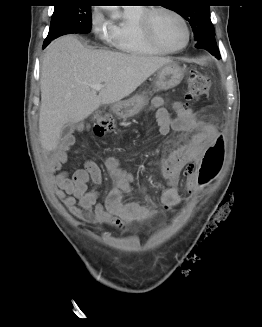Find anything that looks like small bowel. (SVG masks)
<instances>
[{
  "label": "small bowel",
  "instance_id": "obj_1",
  "mask_svg": "<svg viewBox=\"0 0 262 327\" xmlns=\"http://www.w3.org/2000/svg\"><path fill=\"white\" fill-rule=\"evenodd\" d=\"M166 102L164 98L156 97L151 103V108L155 110L159 135L196 131L184 145L175 149L165 159L162 166L166 188L159 202L161 205L163 203L178 205L182 201L178 189L182 170L184 169L187 194L193 195L199 186L195 181L194 166L205 165L200 163V154L208 148V143H218L216 141L218 132L213 125L200 123L194 113L180 101L171 102L177 115L175 118L170 117L164 107ZM73 143V136L67 135L63 138L50 161L49 169L52 173H57L53 177L56 196L62 200L74 217L87 222L125 229L129 223L146 220L156 214L155 209L129 199L133 175L124 169L115 157H110L105 162V167L115 187L110 191L104 203L98 201L102 172L94 161H86L84 167L73 174L61 170L62 164L67 160V151Z\"/></svg>",
  "mask_w": 262,
  "mask_h": 327
}]
</instances>
